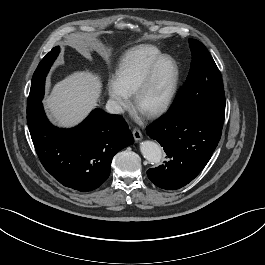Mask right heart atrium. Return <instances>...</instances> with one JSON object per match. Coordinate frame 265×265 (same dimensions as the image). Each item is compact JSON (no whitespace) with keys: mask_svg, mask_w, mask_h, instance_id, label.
Segmentation results:
<instances>
[{"mask_svg":"<svg viewBox=\"0 0 265 265\" xmlns=\"http://www.w3.org/2000/svg\"><path fill=\"white\" fill-rule=\"evenodd\" d=\"M108 94L118 110H123L129 105V98L113 82L108 85Z\"/></svg>","mask_w":265,"mask_h":265,"instance_id":"obj_1","label":"right heart atrium"}]
</instances>
